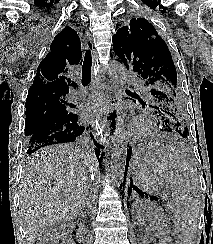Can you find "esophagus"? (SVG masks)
I'll list each match as a JSON object with an SVG mask.
<instances>
[{"mask_svg": "<svg viewBox=\"0 0 213 244\" xmlns=\"http://www.w3.org/2000/svg\"><path fill=\"white\" fill-rule=\"evenodd\" d=\"M93 59H94V69H95V83L97 86V98L103 99L108 103V110L102 119L99 121V128L103 132L106 138H112L110 131L114 128H117V118L118 112L114 111L112 101L113 96L108 91L107 85L104 81L103 71L97 63V52L92 48Z\"/></svg>", "mask_w": 213, "mask_h": 244, "instance_id": "obj_1", "label": "esophagus"}]
</instances>
